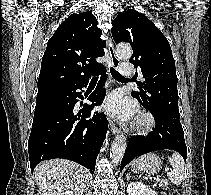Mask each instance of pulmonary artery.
Returning <instances> with one entry per match:
<instances>
[{
	"label": "pulmonary artery",
	"instance_id": "1",
	"mask_svg": "<svg viewBox=\"0 0 211 195\" xmlns=\"http://www.w3.org/2000/svg\"><path fill=\"white\" fill-rule=\"evenodd\" d=\"M120 73L125 76H131L133 74V67L131 63H123L120 67Z\"/></svg>",
	"mask_w": 211,
	"mask_h": 195
}]
</instances>
